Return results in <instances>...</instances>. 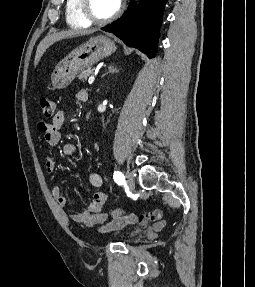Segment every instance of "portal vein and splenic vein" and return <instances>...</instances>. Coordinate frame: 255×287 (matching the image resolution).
Wrapping results in <instances>:
<instances>
[{"instance_id": "portal-vein-and-splenic-vein-1", "label": "portal vein and splenic vein", "mask_w": 255, "mask_h": 287, "mask_svg": "<svg viewBox=\"0 0 255 287\" xmlns=\"http://www.w3.org/2000/svg\"><path fill=\"white\" fill-rule=\"evenodd\" d=\"M97 74L95 72V74H93V76H90L89 80H88V84H93L95 78H96Z\"/></svg>"}]
</instances>
